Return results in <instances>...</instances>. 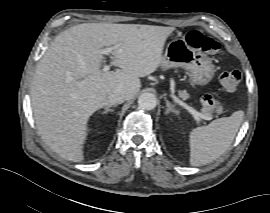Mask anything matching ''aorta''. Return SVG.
<instances>
[{"mask_svg":"<svg viewBox=\"0 0 270 213\" xmlns=\"http://www.w3.org/2000/svg\"><path fill=\"white\" fill-rule=\"evenodd\" d=\"M157 98L152 93H143L138 98V105L143 110H152L156 107Z\"/></svg>","mask_w":270,"mask_h":213,"instance_id":"obj_1","label":"aorta"}]
</instances>
